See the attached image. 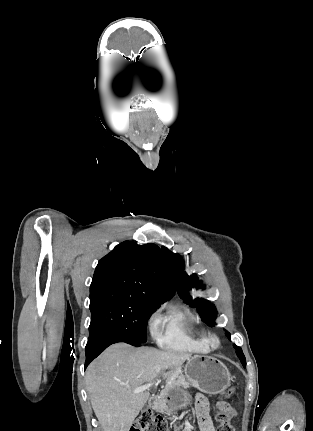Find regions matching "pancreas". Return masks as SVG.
<instances>
[{"instance_id":"pancreas-1","label":"pancreas","mask_w":313,"mask_h":431,"mask_svg":"<svg viewBox=\"0 0 313 431\" xmlns=\"http://www.w3.org/2000/svg\"><path fill=\"white\" fill-rule=\"evenodd\" d=\"M175 387L187 389L191 386V383L186 379V377L183 374H180L176 378H174L171 381ZM169 388H166L165 391L161 394V396L156 401V409L161 412L165 413L168 416H170V419L175 421L177 419L176 416L173 415V412L175 411V408H169L167 406V396H168Z\"/></svg>"}]
</instances>
